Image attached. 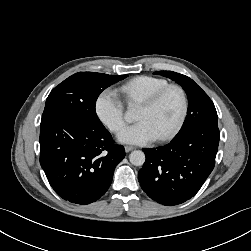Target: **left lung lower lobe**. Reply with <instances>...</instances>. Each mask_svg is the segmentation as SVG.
<instances>
[{
	"mask_svg": "<svg viewBox=\"0 0 251 251\" xmlns=\"http://www.w3.org/2000/svg\"><path fill=\"white\" fill-rule=\"evenodd\" d=\"M219 136L218 127H198L164 146L143 149L146 161L138 173L143 191L166 206L189 200L214 168Z\"/></svg>",
	"mask_w": 251,
	"mask_h": 251,
	"instance_id": "0a47b994",
	"label": "left lung lower lobe"
}]
</instances>
